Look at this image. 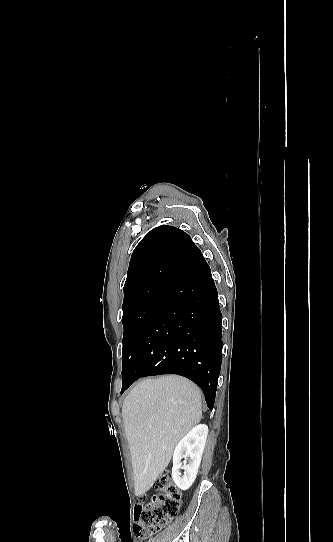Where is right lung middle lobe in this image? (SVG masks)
<instances>
[{"mask_svg": "<svg viewBox=\"0 0 333 542\" xmlns=\"http://www.w3.org/2000/svg\"><path fill=\"white\" fill-rule=\"evenodd\" d=\"M167 293L152 295L138 304L123 309V365L122 371L133 360L135 343L151 313Z\"/></svg>", "mask_w": 333, "mask_h": 542, "instance_id": "1", "label": "right lung middle lobe"}]
</instances>
